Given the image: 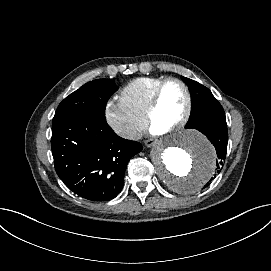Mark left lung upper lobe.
Wrapping results in <instances>:
<instances>
[{
    "label": "left lung upper lobe",
    "mask_w": 271,
    "mask_h": 271,
    "mask_svg": "<svg viewBox=\"0 0 271 271\" xmlns=\"http://www.w3.org/2000/svg\"><path fill=\"white\" fill-rule=\"evenodd\" d=\"M181 78L188 85L192 100L191 115L186 128L195 129L209 111L222 106L207 87L189 78Z\"/></svg>",
    "instance_id": "left-lung-upper-lobe-1"
}]
</instances>
